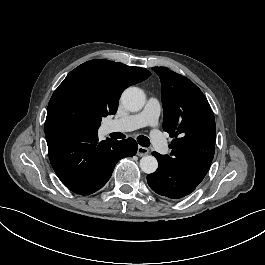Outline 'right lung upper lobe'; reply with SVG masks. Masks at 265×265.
<instances>
[{
	"instance_id": "right-lung-upper-lobe-1",
	"label": "right lung upper lobe",
	"mask_w": 265,
	"mask_h": 265,
	"mask_svg": "<svg viewBox=\"0 0 265 265\" xmlns=\"http://www.w3.org/2000/svg\"><path fill=\"white\" fill-rule=\"evenodd\" d=\"M79 73H87L94 76L105 91L107 98L116 107H118V99L124 89L130 85L144 81L151 75L144 68L127 66L108 60L87 61L75 68L68 75Z\"/></svg>"
}]
</instances>
